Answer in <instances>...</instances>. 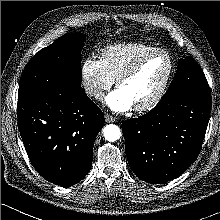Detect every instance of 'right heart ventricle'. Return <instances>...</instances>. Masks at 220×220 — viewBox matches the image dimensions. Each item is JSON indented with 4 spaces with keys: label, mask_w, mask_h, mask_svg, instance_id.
Masks as SVG:
<instances>
[{
    "label": "right heart ventricle",
    "mask_w": 220,
    "mask_h": 220,
    "mask_svg": "<svg viewBox=\"0 0 220 220\" xmlns=\"http://www.w3.org/2000/svg\"><path fill=\"white\" fill-rule=\"evenodd\" d=\"M155 48L145 43L113 44L103 48L100 59L107 73L115 80L138 57Z\"/></svg>",
    "instance_id": "right-heart-ventricle-1"
}]
</instances>
